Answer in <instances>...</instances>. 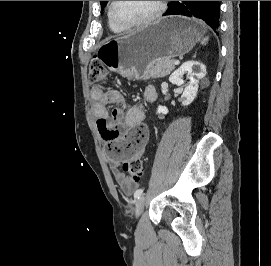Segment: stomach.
<instances>
[{
	"instance_id": "0dacf381",
	"label": "stomach",
	"mask_w": 271,
	"mask_h": 266,
	"mask_svg": "<svg viewBox=\"0 0 271 266\" xmlns=\"http://www.w3.org/2000/svg\"><path fill=\"white\" fill-rule=\"evenodd\" d=\"M203 33L201 22L195 19L166 17L127 36L103 43L97 56L110 71L144 79L150 62L188 53Z\"/></svg>"
}]
</instances>
